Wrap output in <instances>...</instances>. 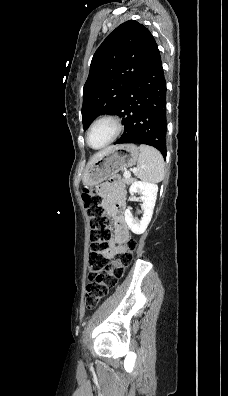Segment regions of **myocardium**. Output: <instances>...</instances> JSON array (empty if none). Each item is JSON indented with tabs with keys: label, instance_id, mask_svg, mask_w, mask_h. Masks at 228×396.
<instances>
[{
	"label": "myocardium",
	"instance_id": "1",
	"mask_svg": "<svg viewBox=\"0 0 228 396\" xmlns=\"http://www.w3.org/2000/svg\"><path fill=\"white\" fill-rule=\"evenodd\" d=\"M100 122L111 123L114 128V131H113L111 138L104 145H102L101 147H93V146H91L90 141H89L90 134H91L92 129ZM123 128H124V125H123V122L119 116H117L115 114L101 115L98 118H96L90 125V127L87 131V134H86V143L90 148H92L94 150L104 149L118 139V137L121 135V133L123 131Z\"/></svg>",
	"mask_w": 228,
	"mask_h": 396
}]
</instances>
